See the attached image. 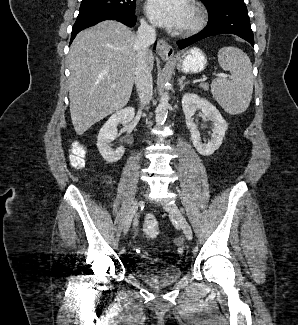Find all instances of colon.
Listing matches in <instances>:
<instances>
[{"mask_svg":"<svg viewBox=\"0 0 298 325\" xmlns=\"http://www.w3.org/2000/svg\"><path fill=\"white\" fill-rule=\"evenodd\" d=\"M71 163L75 169H82L85 165V152L78 151L77 153H74ZM142 230L146 238H155L159 232V223L157 218L153 215H147L143 220Z\"/></svg>","mask_w":298,"mask_h":325,"instance_id":"1","label":"colon"}]
</instances>
